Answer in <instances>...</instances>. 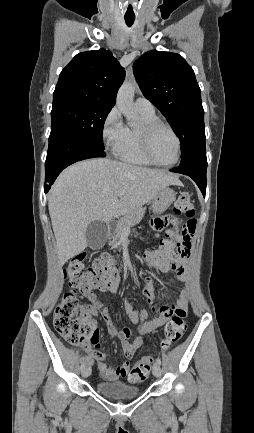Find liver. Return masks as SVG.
<instances>
[{"label": "liver", "mask_w": 254, "mask_h": 433, "mask_svg": "<svg viewBox=\"0 0 254 433\" xmlns=\"http://www.w3.org/2000/svg\"><path fill=\"white\" fill-rule=\"evenodd\" d=\"M177 177L110 159H89L64 170L51 188L48 208L60 266L87 247L88 225L109 223L141 208ZM124 195L119 196V192Z\"/></svg>", "instance_id": "liver-1"}]
</instances>
